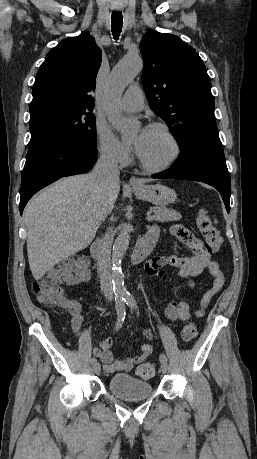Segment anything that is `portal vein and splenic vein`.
<instances>
[{
  "label": "portal vein and splenic vein",
  "instance_id": "1",
  "mask_svg": "<svg viewBox=\"0 0 257 459\" xmlns=\"http://www.w3.org/2000/svg\"><path fill=\"white\" fill-rule=\"evenodd\" d=\"M153 220V216L151 214H147V221L151 222Z\"/></svg>",
  "mask_w": 257,
  "mask_h": 459
}]
</instances>
